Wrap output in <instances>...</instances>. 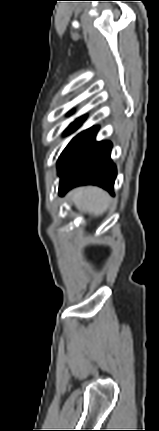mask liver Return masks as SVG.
<instances>
[{
    "label": "liver",
    "mask_w": 159,
    "mask_h": 431,
    "mask_svg": "<svg viewBox=\"0 0 159 431\" xmlns=\"http://www.w3.org/2000/svg\"><path fill=\"white\" fill-rule=\"evenodd\" d=\"M69 197L77 209L94 216L103 215L111 201L106 191L95 186L75 189L69 193Z\"/></svg>",
    "instance_id": "1"
}]
</instances>
